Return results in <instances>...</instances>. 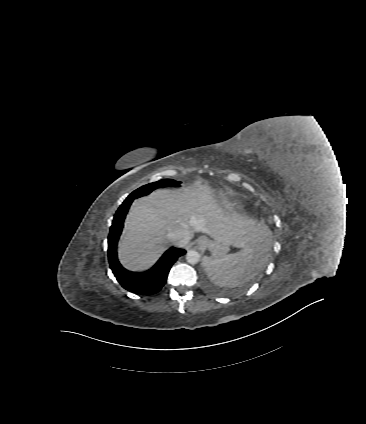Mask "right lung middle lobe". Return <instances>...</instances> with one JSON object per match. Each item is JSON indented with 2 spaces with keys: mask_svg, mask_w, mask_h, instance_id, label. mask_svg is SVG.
I'll return each instance as SVG.
<instances>
[{
  "mask_svg": "<svg viewBox=\"0 0 366 424\" xmlns=\"http://www.w3.org/2000/svg\"><path fill=\"white\" fill-rule=\"evenodd\" d=\"M167 186H177L178 187V186H180V182L162 179L160 181L153 182V183H150V184H147V185H144V186L138 188L137 190L133 191L126 199H128V198L136 199V198H139L141 196H145V195L149 194L150 192H152L156 188L167 187Z\"/></svg>",
  "mask_w": 366,
  "mask_h": 424,
  "instance_id": "dd1d6c3e",
  "label": "right lung middle lobe"
}]
</instances>
